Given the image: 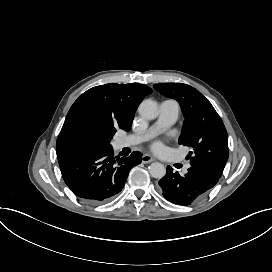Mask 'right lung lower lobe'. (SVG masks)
<instances>
[{
	"label": "right lung lower lobe",
	"mask_w": 272,
	"mask_h": 272,
	"mask_svg": "<svg viewBox=\"0 0 272 272\" xmlns=\"http://www.w3.org/2000/svg\"><path fill=\"white\" fill-rule=\"evenodd\" d=\"M112 147L86 150L59 160L62 177L70 190L91 204L105 202L124 187L129 171L140 164L141 154L114 157Z\"/></svg>",
	"instance_id": "right-lung-lower-lobe-1"
}]
</instances>
